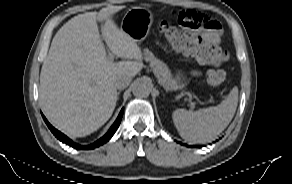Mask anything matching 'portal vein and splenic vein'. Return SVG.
<instances>
[{"label":"portal vein and splenic vein","instance_id":"portal-vein-and-splenic-vein-1","mask_svg":"<svg viewBox=\"0 0 292 184\" xmlns=\"http://www.w3.org/2000/svg\"><path fill=\"white\" fill-rule=\"evenodd\" d=\"M108 59H109L110 61H113V60H114V55H113L112 53H109V57H108Z\"/></svg>","mask_w":292,"mask_h":184}]
</instances>
